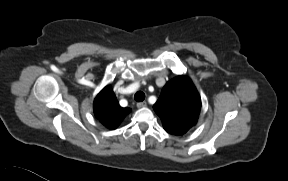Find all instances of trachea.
<instances>
[{
  "instance_id": "trachea-1",
  "label": "trachea",
  "mask_w": 288,
  "mask_h": 181,
  "mask_svg": "<svg viewBox=\"0 0 288 181\" xmlns=\"http://www.w3.org/2000/svg\"><path fill=\"white\" fill-rule=\"evenodd\" d=\"M134 99L137 102H142L145 99V94L142 91H138L135 95H134Z\"/></svg>"
}]
</instances>
